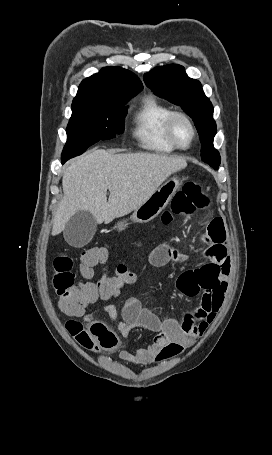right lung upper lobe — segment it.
Masks as SVG:
<instances>
[{
    "label": "right lung upper lobe",
    "instance_id": "obj_1",
    "mask_svg": "<svg viewBox=\"0 0 272 455\" xmlns=\"http://www.w3.org/2000/svg\"><path fill=\"white\" fill-rule=\"evenodd\" d=\"M143 85L139 78L121 67H105L83 80L72 107H116L127 103Z\"/></svg>",
    "mask_w": 272,
    "mask_h": 455
}]
</instances>
